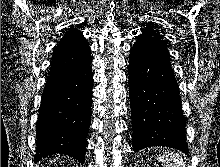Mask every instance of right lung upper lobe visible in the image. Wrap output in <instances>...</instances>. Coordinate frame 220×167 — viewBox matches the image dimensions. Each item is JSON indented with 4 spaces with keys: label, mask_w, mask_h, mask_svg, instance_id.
<instances>
[{
    "label": "right lung upper lobe",
    "mask_w": 220,
    "mask_h": 167,
    "mask_svg": "<svg viewBox=\"0 0 220 167\" xmlns=\"http://www.w3.org/2000/svg\"><path fill=\"white\" fill-rule=\"evenodd\" d=\"M91 61L89 44L77 27L66 29L55 46L50 74L74 70Z\"/></svg>",
    "instance_id": "cb5924a9"
}]
</instances>
